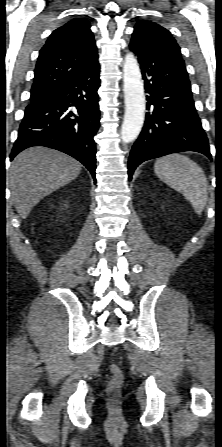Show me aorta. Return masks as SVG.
I'll return each mask as SVG.
<instances>
[{
	"label": "aorta",
	"instance_id": "aorta-1",
	"mask_svg": "<svg viewBox=\"0 0 222 447\" xmlns=\"http://www.w3.org/2000/svg\"><path fill=\"white\" fill-rule=\"evenodd\" d=\"M125 114L121 128L124 143L134 141L143 126L145 116L144 85L140 68L133 53H128L123 65Z\"/></svg>",
	"mask_w": 222,
	"mask_h": 447
}]
</instances>
